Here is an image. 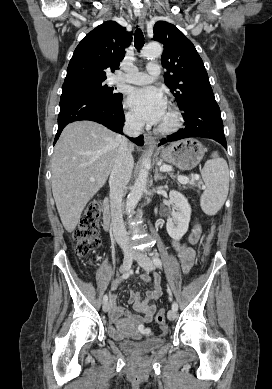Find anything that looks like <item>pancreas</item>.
<instances>
[{
	"mask_svg": "<svg viewBox=\"0 0 272 389\" xmlns=\"http://www.w3.org/2000/svg\"><path fill=\"white\" fill-rule=\"evenodd\" d=\"M169 175H170V177L173 178V179L176 178V176H175L173 173H169ZM188 183L194 184V180L192 179V180H191L190 182H188ZM186 184H187V183H186ZM186 184H183V185H186Z\"/></svg>",
	"mask_w": 272,
	"mask_h": 389,
	"instance_id": "1",
	"label": "pancreas"
}]
</instances>
